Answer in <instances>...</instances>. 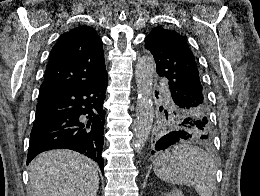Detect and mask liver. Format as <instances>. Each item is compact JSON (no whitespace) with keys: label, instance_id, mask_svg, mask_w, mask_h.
Returning a JSON list of instances; mask_svg holds the SVG:
<instances>
[{"label":"liver","instance_id":"obj_1","mask_svg":"<svg viewBox=\"0 0 260 196\" xmlns=\"http://www.w3.org/2000/svg\"><path fill=\"white\" fill-rule=\"evenodd\" d=\"M29 170V196H97L95 162L78 152H44L31 162Z\"/></svg>","mask_w":260,"mask_h":196}]
</instances>
